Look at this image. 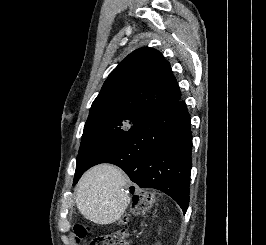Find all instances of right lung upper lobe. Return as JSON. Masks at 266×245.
I'll return each instance as SVG.
<instances>
[{
    "label": "right lung upper lobe",
    "mask_w": 266,
    "mask_h": 245,
    "mask_svg": "<svg viewBox=\"0 0 266 245\" xmlns=\"http://www.w3.org/2000/svg\"><path fill=\"white\" fill-rule=\"evenodd\" d=\"M180 98L170 64L159 51L144 47L129 54L111 72L89 116L116 112L143 118Z\"/></svg>",
    "instance_id": "obj_1"
}]
</instances>
